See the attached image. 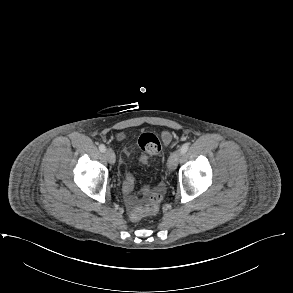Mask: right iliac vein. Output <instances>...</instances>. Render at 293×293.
<instances>
[{
    "mask_svg": "<svg viewBox=\"0 0 293 293\" xmlns=\"http://www.w3.org/2000/svg\"><path fill=\"white\" fill-rule=\"evenodd\" d=\"M105 156L108 159L110 164H114L115 163V153L112 149H107L105 151Z\"/></svg>",
    "mask_w": 293,
    "mask_h": 293,
    "instance_id": "1",
    "label": "right iliac vein"
}]
</instances>
